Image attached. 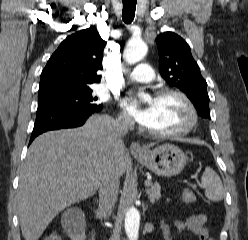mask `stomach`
Masks as SVG:
<instances>
[{
  "label": "stomach",
  "mask_w": 248,
  "mask_h": 240,
  "mask_svg": "<svg viewBox=\"0 0 248 240\" xmlns=\"http://www.w3.org/2000/svg\"><path fill=\"white\" fill-rule=\"evenodd\" d=\"M135 158L155 174L164 177L179 174L187 163L185 153L169 143L147 150L142 156L135 155Z\"/></svg>",
  "instance_id": "stomach-1"
}]
</instances>
